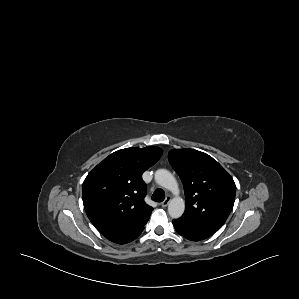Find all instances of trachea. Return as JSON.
<instances>
[{
	"instance_id": "3493384b",
	"label": "trachea",
	"mask_w": 299,
	"mask_h": 299,
	"mask_svg": "<svg viewBox=\"0 0 299 299\" xmlns=\"http://www.w3.org/2000/svg\"><path fill=\"white\" fill-rule=\"evenodd\" d=\"M152 199L156 202H162L165 199L164 191L161 189H157L156 191H154Z\"/></svg>"
}]
</instances>
